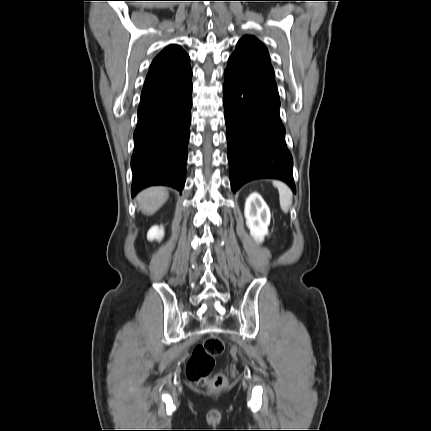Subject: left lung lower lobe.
<instances>
[{
    "label": "left lung lower lobe",
    "mask_w": 431,
    "mask_h": 431,
    "mask_svg": "<svg viewBox=\"0 0 431 431\" xmlns=\"http://www.w3.org/2000/svg\"><path fill=\"white\" fill-rule=\"evenodd\" d=\"M224 77L232 191L254 179L274 178L286 182L295 193L276 83L233 66H227Z\"/></svg>",
    "instance_id": "obj_1"
}]
</instances>
